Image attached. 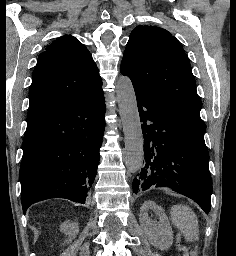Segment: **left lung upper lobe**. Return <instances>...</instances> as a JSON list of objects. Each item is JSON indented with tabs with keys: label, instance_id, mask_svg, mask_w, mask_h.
Wrapping results in <instances>:
<instances>
[{
	"label": "left lung upper lobe",
	"instance_id": "5c2ea615",
	"mask_svg": "<svg viewBox=\"0 0 236 256\" xmlns=\"http://www.w3.org/2000/svg\"><path fill=\"white\" fill-rule=\"evenodd\" d=\"M121 73L131 79L135 90L200 115L202 102L190 62L167 30L136 27L124 52Z\"/></svg>",
	"mask_w": 236,
	"mask_h": 256
}]
</instances>
